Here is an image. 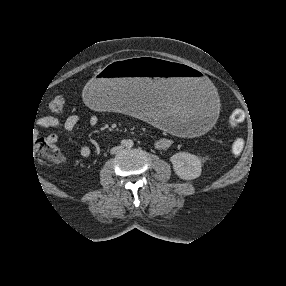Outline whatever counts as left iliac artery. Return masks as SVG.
Here are the masks:
<instances>
[{"label": "left iliac artery", "mask_w": 286, "mask_h": 286, "mask_svg": "<svg viewBox=\"0 0 286 286\" xmlns=\"http://www.w3.org/2000/svg\"><path fill=\"white\" fill-rule=\"evenodd\" d=\"M128 145H129V147H132V146H133V142H132V141H129V142H128Z\"/></svg>", "instance_id": "left-iliac-artery-1"}]
</instances>
